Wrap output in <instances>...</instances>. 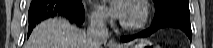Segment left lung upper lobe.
Returning <instances> with one entry per match:
<instances>
[{
    "mask_svg": "<svg viewBox=\"0 0 213 48\" xmlns=\"http://www.w3.org/2000/svg\"><path fill=\"white\" fill-rule=\"evenodd\" d=\"M155 4V15L167 9L181 10L189 13L188 0H153Z\"/></svg>",
    "mask_w": 213,
    "mask_h": 48,
    "instance_id": "obj_1",
    "label": "left lung upper lobe"
}]
</instances>
